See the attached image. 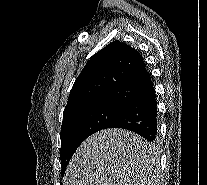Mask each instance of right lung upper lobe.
<instances>
[{
    "label": "right lung upper lobe",
    "mask_w": 207,
    "mask_h": 185,
    "mask_svg": "<svg viewBox=\"0 0 207 185\" xmlns=\"http://www.w3.org/2000/svg\"><path fill=\"white\" fill-rule=\"evenodd\" d=\"M151 86L150 74L139 52L113 41L90 58L75 80L63 119L101 105L122 109Z\"/></svg>",
    "instance_id": "1"
}]
</instances>
